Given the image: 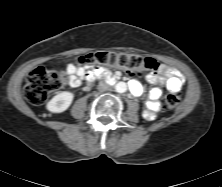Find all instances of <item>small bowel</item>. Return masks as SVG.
<instances>
[{"label":"small bowel","instance_id":"obj_1","mask_svg":"<svg viewBox=\"0 0 222 187\" xmlns=\"http://www.w3.org/2000/svg\"><path fill=\"white\" fill-rule=\"evenodd\" d=\"M68 81L71 87H78L89 76L87 71L74 63L66 67ZM148 83L156 85L148 92V97L143 109V116L146 120L152 121L156 118L159 111V99L162 95V87L169 91H179L184 85L185 79L182 73L166 64L159 65L158 69L145 74ZM130 92L133 96L139 97L143 94V86L137 80L130 82Z\"/></svg>","mask_w":222,"mask_h":187}]
</instances>
